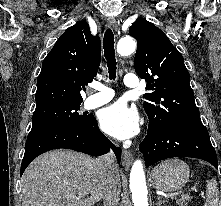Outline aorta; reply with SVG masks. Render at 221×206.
<instances>
[{
	"mask_svg": "<svg viewBox=\"0 0 221 206\" xmlns=\"http://www.w3.org/2000/svg\"><path fill=\"white\" fill-rule=\"evenodd\" d=\"M135 49L136 41L130 36L121 38L117 44V52L121 56L131 55ZM130 190L134 206H148L146 179L141 160H136L131 168Z\"/></svg>",
	"mask_w": 221,
	"mask_h": 206,
	"instance_id": "1",
	"label": "aorta"
}]
</instances>
